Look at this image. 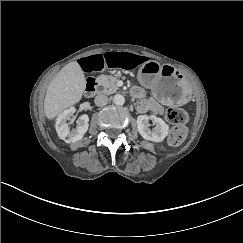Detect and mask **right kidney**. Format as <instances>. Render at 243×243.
I'll return each mask as SVG.
<instances>
[{
  "label": "right kidney",
  "mask_w": 243,
  "mask_h": 243,
  "mask_svg": "<svg viewBox=\"0 0 243 243\" xmlns=\"http://www.w3.org/2000/svg\"><path fill=\"white\" fill-rule=\"evenodd\" d=\"M76 109L71 107L67 110H64L61 114L58 115L56 119V132L60 139L64 140L66 143H74L82 139L84 134L88 130V115H81L77 120V127L70 131L67 121L70 120V117L75 113Z\"/></svg>",
  "instance_id": "1"
}]
</instances>
